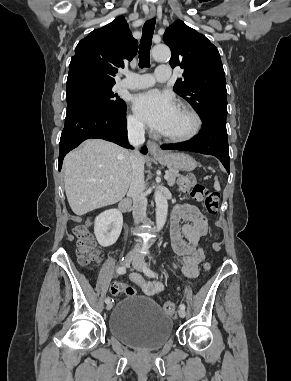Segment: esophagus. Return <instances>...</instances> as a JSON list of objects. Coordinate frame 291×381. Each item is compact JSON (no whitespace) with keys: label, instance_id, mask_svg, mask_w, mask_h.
<instances>
[{"label":"esophagus","instance_id":"esophagus-1","mask_svg":"<svg viewBox=\"0 0 291 381\" xmlns=\"http://www.w3.org/2000/svg\"><path fill=\"white\" fill-rule=\"evenodd\" d=\"M155 14H156L155 6L151 5L149 8V12H148L149 18H153L155 16ZM147 145H148V149H149L150 154H152V155L163 154L159 145L155 141L150 140V141H148Z\"/></svg>","mask_w":291,"mask_h":381}]
</instances>
